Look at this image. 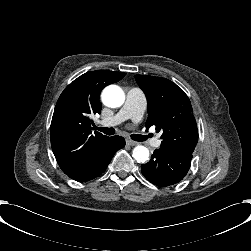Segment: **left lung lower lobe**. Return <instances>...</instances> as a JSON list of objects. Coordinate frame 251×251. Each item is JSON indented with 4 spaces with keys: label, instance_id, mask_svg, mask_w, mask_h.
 Wrapping results in <instances>:
<instances>
[{
    "label": "left lung lower lobe",
    "instance_id": "left-lung-lower-lobe-1",
    "mask_svg": "<svg viewBox=\"0 0 251 251\" xmlns=\"http://www.w3.org/2000/svg\"><path fill=\"white\" fill-rule=\"evenodd\" d=\"M192 154L178 153L163 148L156 149L151 160L141 165L143 176L159 187L180 182L187 174Z\"/></svg>",
    "mask_w": 251,
    "mask_h": 251
}]
</instances>
